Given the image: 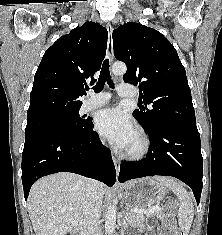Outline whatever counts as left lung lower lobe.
<instances>
[{
    "label": "left lung lower lobe",
    "instance_id": "left-lung-lower-lobe-1",
    "mask_svg": "<svg viewBox=\"0 0 222 235\" xmlns=\"http://www.w3.org/2000/svg\"><path fill=\"white\" fill-rule=\"evenodd\" d=\"M147 133L150 137L147 156L138 162H122L119 182L152 175L173 176L192 189L199 204L203 176L199 132L166 126Z\"/></svg>",
    "mask_w": 222,
    "mask_h": 235
}]
</instances>
